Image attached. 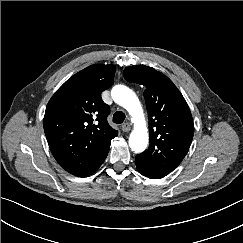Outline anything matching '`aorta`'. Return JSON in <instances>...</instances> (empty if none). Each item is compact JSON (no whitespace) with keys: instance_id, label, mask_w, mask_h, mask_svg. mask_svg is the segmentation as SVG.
<instances>
[{"instance_id":"762f6f07","label":"aorta","mask_w":243,"mask_h":243,"mask_svg":"<svg viewBox=\"0 0 243 243\" xmlns=\"http://www.w3.org/2000/svg\"><path fill=\"white\" fill-rule=\"evenodd\" d=\"M111 96L117 104L124 107L133 117L134 129L129 137V146L135 153L143 152L148 145V130L142 106L136 94L124 85H116L111 90Z\"/></svg>"}]
</instances>
